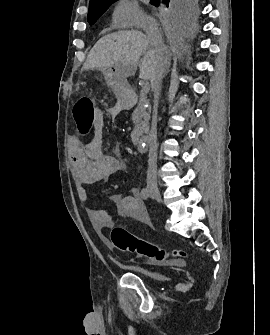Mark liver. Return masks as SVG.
Masks as SVG:
<instances>
[{
	"mask_svg": "<svg viewBox=\"0 0 270 335\" xmlns=\"http://www.w3.org/2000/svg\"><path fill=\"white\" fill-rule=\"evenodd\" d=\"M168 48L153 46L138 30H120L100 38L90 50L83 70H96L113 66L120 80L134 76L137 66L142 80H152L157 70L168 60ZM141 56H144L139 64Z\"/></svg>",
	"mask_w": 270,
	"mask_h": 335,
	"instance_id": "liver-1",
	"label": "liver"
}]
</instances>
